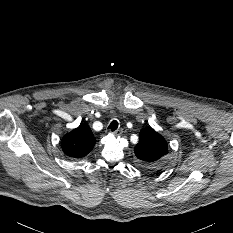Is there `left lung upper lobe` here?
I'll use <instances>...</instances> for the list:
<instances>
[{
    "label": "left lung upper lobe",
    "mask_w": 233,
    "mask_h": 233,
    "mask_svg": "<svg viewBox=\"0 0 233 233\" xmlns=\"http://www.w3.org/2000/svg\"><path fill=\"white\" fill-rule=\"evenodd\" d=\"M134 152L138 158V165L147 172H159L166 165L167 142L151 127L141 130L139 143L135 146Z\"/></svg>",
    "instance_id": "left-lung-upper-lobe-1"
}]
</instances>
